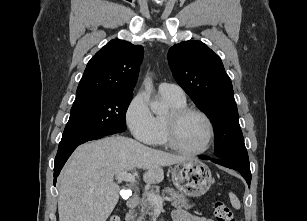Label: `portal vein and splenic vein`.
Listing matches in <instances>:
<instances>
[{"label":"portal vein and splenic vein","mask_w":307,"mask_h":221,"mask_svg":"<svg viewBox=\"0 0 307 221\" xmlns=\"http://www.w3.org/2000/svg\"><path fill=\"white\" fill-rule=\"evenodd\" d=\"M116 180L118 181H126L130 182L132 184H136V178L135 174H131L128 172H122L119 173L115 176ZM148 200L155 206V207H162L164 201H171L169 197H161L159 195L151 194V193H146Z\"/></svg>","instance_id":"obj_1"}]
</instances>
